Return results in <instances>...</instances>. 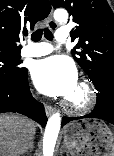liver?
<instances>
[{
  "label": "liver",
  "mask_w": 114,
  "mask_h": 156,
  "mask_svg": "<svg viewBox=\"0 0 114 156\" xmlns=\"http://www.w3.org/2000/svg\"><path fill=\"white\" fill-rule=\"evenodd\" d=\"M36 123L17 114H0V156H21L30 145Z\"/></svg>",
  "instance_id": "obj_1"
}]
</instances>
